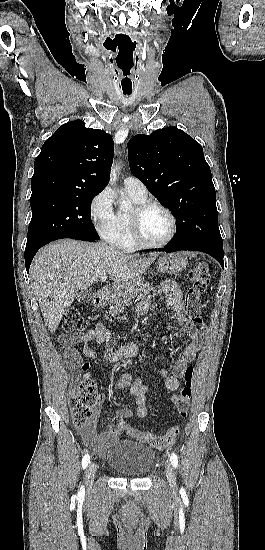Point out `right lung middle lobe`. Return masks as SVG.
I'll return each instance as SVG.
<instances>
[{
    "label": "right lung middle lobe",
    "mask_w": 265,
    "mask_h": 550,
    "mask_svg": "<svg viewBox=\"0 0 265 550\" xmlns=\"http://www.w3.org/2000/svg\"><path fill=\"white\" fill-rule=\"evenodd\" d=\"M95 195L97 194H65L54 191L32 193V219L28 227L25 253L67 234L99 239L90 214Z\"/></svg>",
    "instance_id": "dd1d6c3e"
}]
</instances>
